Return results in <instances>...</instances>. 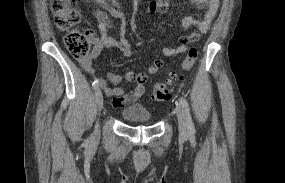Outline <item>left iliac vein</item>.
Wrapping results in <instances>:
<instances>
[{"instance_id":"1","label":"left iliac vein","mask_w":285,"mask_h":183,"mask_svg":"<svg viewBox=\"0 0 285 183\" xmlns=\"http://www.w3.org/2000/svg\"><path fill=\"white\" fill-rule=\"evenodd\" d=\"M175 113H176L177 121H178L179 134L181 137L185 138L188 136V126H187L184 111L180 106H177L175 108Z\"/></svg>"}]
</instances>
